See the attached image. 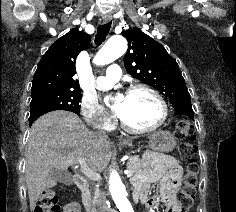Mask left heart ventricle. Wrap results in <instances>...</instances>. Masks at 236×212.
Masks as SVG:
<instances>
[{
    "label": "left heart ventricle",
    "mask_w": 236,
    "mask_h": 212,
    "mask_svg": "<svg viewBox=\"0 0 236 212\" xmlns=\"http://www.w3.org/2000/svg\"><path fill=\"white\" fill-rule=\"evenodd\" d=\"M120 117L131 127L148 128L160 119L161 106L152 94L138 90L124 96Z\"/></svg>",
    "instance_id": "obj_1"
}]
</instances>
